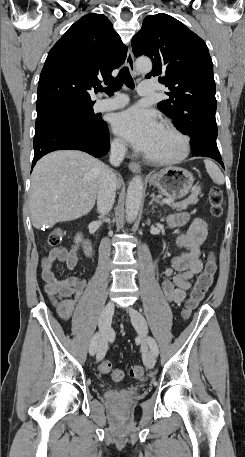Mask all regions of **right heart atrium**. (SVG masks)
Segmentation results:
<instances>
[{"label":"right heart atrium","mask_w":245,"mask_h":457,"mask_svg":"<svg viewBox=\"0 0 245 457\" xmlns=\"http://www.w3.org/2000/svg\"><path fill=\"white\" fill-rule=\"evenodd\" d=\"M113 146L117 151H123L124 150V143L119 139H115L113 141Z\"/></svg>","instance_id":"1"}]
</instances>
